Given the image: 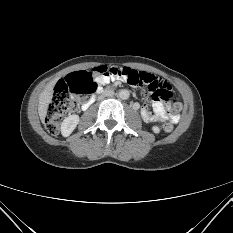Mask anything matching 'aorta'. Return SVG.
I'll use <instances>...</instances> for the list:
<instances>
[{
    "label": "aorta",
    "mask_w": 233,
    "mask_h": 233,
    "mask_svg": "<svg viewBox=\"0 0 233 233\" xmlns=\"http://www.w3.org/2000/svg\"><path fill=\"white\" fill-rule=\"evenodd\" d=\"M129 96H130V93H129L128 90H126V89L120 90V92H119V97H120L121 99L126 100V99L129 98Z\"/></svg>",
    "instance_id": "obj_1"
}]
</instances>
